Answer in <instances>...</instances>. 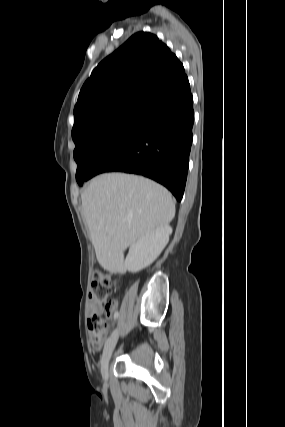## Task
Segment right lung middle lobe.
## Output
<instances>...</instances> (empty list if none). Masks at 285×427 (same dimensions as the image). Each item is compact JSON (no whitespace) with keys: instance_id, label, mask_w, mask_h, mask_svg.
Returning <instances> with one entry per match:
<instances>
[{"instance_id":"right-lung-middle-lobe-1","label":"right lung middle lobe","mask_w":285,"mask_h":427,"mask_svg":"<svg viewBox=\"0 0 285 427\" xmlns=\"http://www.w3.org/2000/svg\"><path fill=\"white\" fill-rule=\"evenodd\" d=\"M144 105L127 106L88 122L72 133L76 145V180L82 184L101 159L119 142L143 110Z\"/></svg>"}]
</instances>
